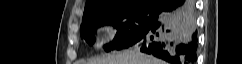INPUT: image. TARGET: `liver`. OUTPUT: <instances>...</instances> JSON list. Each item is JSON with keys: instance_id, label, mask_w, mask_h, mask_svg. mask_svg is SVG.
Masks as SVG:
<instances>
[{"instance_id": "6515ba94", "label": "liver", "mask_w": 242, "mask_h": 64, "mask_svg": "<svg viewBox=\"0 0 242 64\" xmlns=\"http://www.w3.org/2000/svg\"><path fill=\"white\" fill-rule=\"evenodd\" d=\"M189 25L195 29V19H191ZM84 64H164V62L138 50H126L122 53L90 59Z\"/></svg>"}]
</instances>
